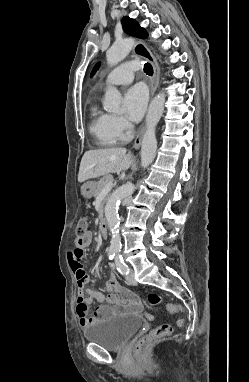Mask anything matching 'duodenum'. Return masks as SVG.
Instances as JSON below:
<instances>
[{"mask_svg": "<svg viewBox=\"0 0 249 382\" xmlns=\"http://www.w3.org/2000/svg\"><path fill=\"white\" fill-rule=\"evenodd\" d=\"M99 230L100 233L103 237L108 236V226H107V221L104 217H102L99 221Z\"/></svg>", "mask_w": 249, "mask_h": 382, "instance_id": "410a0bca", "label": "duodenum"}]
</instances>
